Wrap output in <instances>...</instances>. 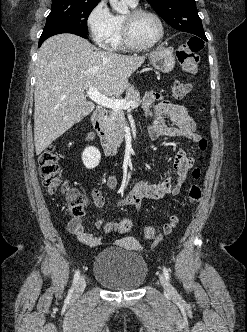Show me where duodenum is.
<instances>
[{"instance_id":"1","label":"duodenum","mask_w":247,"mask_h":332,"mask_svg":"<svg viewBox=\"0 0 247 332\" xmlns=\"http://www.w3.org/2000/svg\"><path fill=\"white\" fill-rule=\"evenodd\" d=\"M104 117L105 110L101 107H97L92 115V127L98 137L100 138L102 148L107 156H111L115 153V149L107 138L104 130Z\"/></svg>"}]
</instances>
